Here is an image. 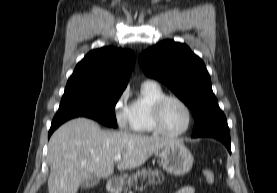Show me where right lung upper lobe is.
Segmentation results:
<instances>
[{
	"instance_id": "right-lung-upper-lobe-1",
	"label": "right lung upper lobe",
	"mask_w": 277,
	"mask_h": 193,
	"mask_svg": "<svg viewBox=\"0 0 277 193\" xmlns=\"http://www.w3.org/2000/svg\"><path fill=\"white\" fill-rule=\"evenodd\" d=\"M134 53L126 49L104 47L89 52L79 62L66 88H90L123 91L134 67Z\"/></svg>"
}]
</instances>
